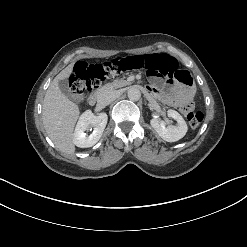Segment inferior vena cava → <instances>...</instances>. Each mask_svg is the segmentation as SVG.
Segmentation results:
<instances>
[{"label": "inferior vena cava", "instance_id": "602c4592", "mask_svg": "<svg viewBox=\"0 0 247 247\" xmlns=\"http://www.w3.org/2000/svg\"><path fill=\"white\" fill-rule=\"evenodd\" d=\"M117 96H118L117 91H113V90L104 91L99 95L98 102L103 105H108L112 101H114L117 98Z\"/></svg>", "mask_w": 247, "mask_h": 247}]
</instances>
